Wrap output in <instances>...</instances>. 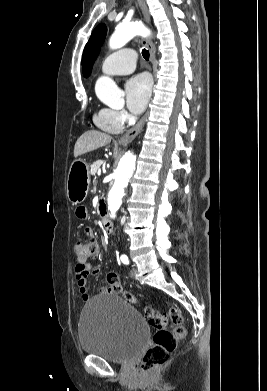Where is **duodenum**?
<instances>
[{
    "label": "duodenum",
    "instance_id": "duodenum-1",
    "mask_svg": "<svg viewBox=\"0 0 267 391\" xmlns=\"http://www.w3.org/2000/svg\"><path fill=\"white\" fill-rule=\"evenodd\" d=\"M100 213H101V222H102L104 229L108 232L112 231V222L105 215V207L103 204H100Z\"/></svg>",
    "mask_w": 267,
    "mask_h": 391
}]
</instances>
